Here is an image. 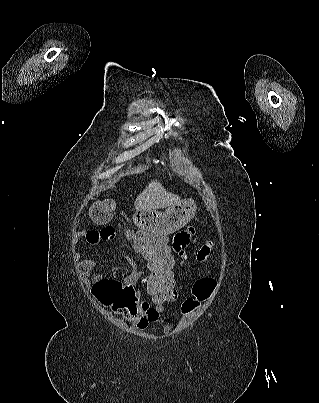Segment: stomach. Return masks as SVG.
<instances>
[{
    "label": "stomach",
    "instance_id": "1",
    "mask_svg": "<svg viewBox=\"0 0 319 403\" xmlns=\"http://www.w3.org/2000/svg\"><path fill=\"white\" fill-rule=\"evenodd\" d=\"M196 209L192 200H183L164 212L134 210L132 223L141 234H172L190 222Z\"/></svg>",
    "mask_w": 319,
    "mask_h": 403
}]
</instances>
